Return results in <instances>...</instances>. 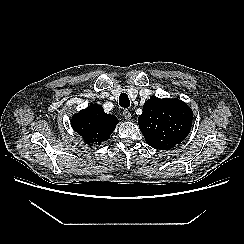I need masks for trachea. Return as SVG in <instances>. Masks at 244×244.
<instances>
[{
    "label": "trachea",
    "mask_w": 244,
    "mask_h": 244,
    "mask_svg": "<svg viewBox=\"0 0 244 244\" xmlns=\"http://www.w3.org/2000/svg\"><path fill=\"white\" fill-rule=\"evenodd\" d=\"M119 105L122 108H128L130 106V100L127 94L122 93L119 96Z\"/></svg>",
    "instance_id": "obj_1"
}]
</instances>
